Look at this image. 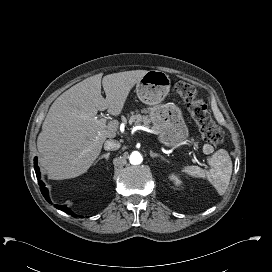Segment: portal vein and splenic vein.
Listing matches in <instances>:
<instances>
[{
  "instance_id": "obj_1",
  "label": "portal vein and splenic vein",
  "mask_w": 272,
  "mask_h": 272,
  "mask_svg": "<svg viewBox=\"0 0 272 272\" xmlns=\"http://www.w3.org/2000/svg\"><path fill=\"white\" fill-rule=\"evenodd\" d=\"M98 123H99L100 125H105V123H106V117H103V118L98 119ZM191 158H192V161H193V162L198 163V164L201 165V163L198 161V159H197L195 156H193V157L191 156Z\"/></svg>"
}]
</instances>
